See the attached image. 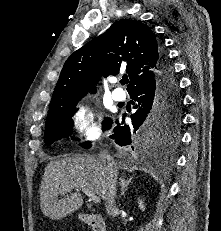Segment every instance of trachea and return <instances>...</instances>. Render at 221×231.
<instances>
[{"label": "trachea", "mask_w": 221, "mask_h": 231, "mask_svg": "<svg viewBox=\"0 0 221 231\" xmlns=\"http://www.w3.org/2000/svg\"><path fill=\"white\" fill-rule=\"evenodd\" d=\"M128 79L127 78H122V80L120 81L122 84H127L128 83Z\"/></svg>", "instance_id": "trachea-1"}]
</instances>
